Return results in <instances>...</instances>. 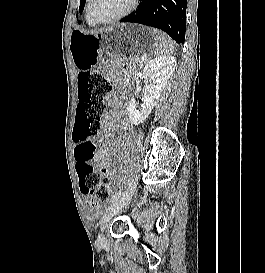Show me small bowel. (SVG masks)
<instances>
[{
    "label": "small bowel",
    "mask_w": 265,
    "mask_h": 273,
    "mask_svg": "<svg viewBox=\"0 0 265 273\" xmlns=\"http://www.w3.org/2000/svg\"><path fill=\"white\" fill-rule=\"evenodd\" d=\"M108 103L112 107V112L108 114L105 117V129H104V134L106 137L110 138L113 135L114 131V126L116 122L118 121L120 114L117 112L119 108L118 100L114 96H110L108 98ZM128 123H124V127H127ZM76 146L78 143H75ZM75 146V147H76ZM115 153V148L113 146H109L103 151H101L97 157L96 160V166L106 175V177H110L111 175V167H110V160L112 155ZM75 158V154H74ZM100 212V206H96L94 208H90V214L92 216L97 215Z\"/></svg>",
    "instance_id": "obj_1"
}]
</instances>
